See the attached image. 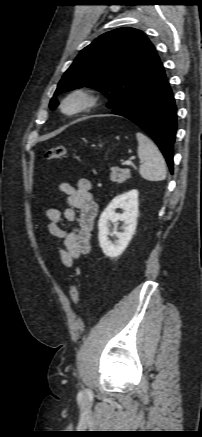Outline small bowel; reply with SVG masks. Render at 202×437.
<instances>
[{"mask_svg": "<svg viewBox=\"0 0 202 437\" xmlns=\"http://www.w3.org/2000/svg\"><path fill=\"white\" fill-rule=\"evenodd\" d=\"M58 189L66 196L67 208L61 212L56 208H47L48 232L62 241L58 258L65 267H71L81 256L91 250V232L98 214V204L93 199L92 184L87 178H80L75 185L63 182ZM75 224L66 231L61 227L62 220Z\"/></svg>", "mask_w": 202, "mask_h": 437, "instance_id": "small-bowel-1", "label": "small bowel"}]
</instances>
